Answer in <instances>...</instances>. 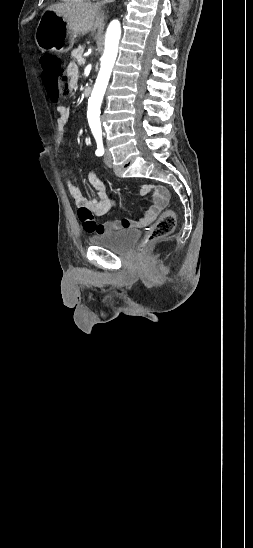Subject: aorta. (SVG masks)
<instances>
[{
  "label": "aorta",
  "instance_id": "762f6f07",
  "mask_svg": "<svg viewBox=\"0 0 253 548\" xmlns=\"http://www.w3.org/2000/svg\"><path fill=\"white\" fill-rule=\"evenodd\" d=\"M120 37V22L118 20H113L107 28L105 50L101 57L100 71L98 73L91 97L88 101V119L92 132L96 138H101L102 135L99 120L100 106L117 57Z\"/></svg>",
  "mask_w": 253,
  "mask_h": 548
}]
</instances>
